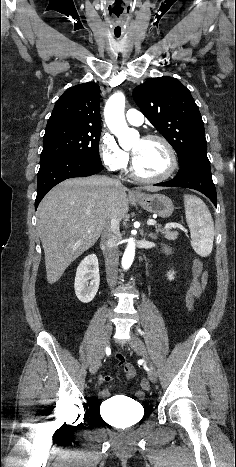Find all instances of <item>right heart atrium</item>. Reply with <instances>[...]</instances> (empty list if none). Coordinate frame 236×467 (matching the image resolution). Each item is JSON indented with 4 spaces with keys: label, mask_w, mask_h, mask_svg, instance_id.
<instances>
[{
    "label": "right heart atrium",
    "mask_w": 236,
    "mask_h": 467,
    "mask_svg": "<svg viewBox=\"0 0 236 467\" xmlns=\"http://www.w3.org/2000/svg\"><path fill=\"white\" fill-rule=\"evenodd\" d=\"M99 153L105 167L112 172H124L129 165V155L109 133H103L99 142Z\"/></svg>",
    "instance_id": "1"
}]
</instances>
